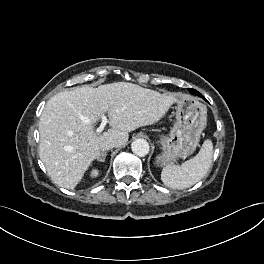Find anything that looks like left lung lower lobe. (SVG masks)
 <instances>
[{
    "label": "left lung lower lobe",
    "mask_w": 264,
    "mask_h": 264,
    "mask_svg": "<svg viewBox=\"0 0 264 264\" xmlns=\"http://www.w3.org/2000/svg\"><path fill=\"white\" fill-rule=\"evenodd\" d=\"M189 91L192 93V94H197V95H201L199 92H197L196 90H193V89H189Z\"/></svg>",
    "instance_id": "left-lung-lower-lobe-1"
}]
</instances>
